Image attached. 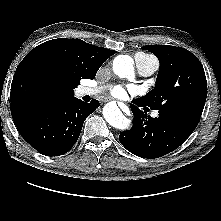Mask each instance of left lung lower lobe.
<instances>
[{
  "instance_id": "left-lung-lower-lobe-1",
  "label": "left lung lower lobe",
  "mask_w": 221,
  "mask_h": 221,
  "mask_svg": "<svg viewBox=\"0 0 221 221\" xmlns=\"http://www.w3.org/2000/svg\"><path fill=\"white\" fill-rule=\"evenodd\" d=\"M133 103L142 106L138 100ZM133 127L119 135L121 144L131 153L144 158H158L178 148L197 124L173 113L159 112L157 118L147 116L135 105Z\"/></svg>"
}]
</instances>
